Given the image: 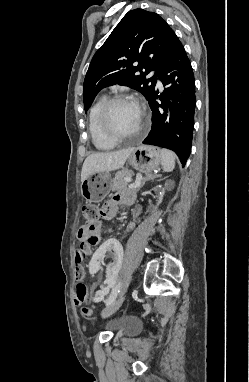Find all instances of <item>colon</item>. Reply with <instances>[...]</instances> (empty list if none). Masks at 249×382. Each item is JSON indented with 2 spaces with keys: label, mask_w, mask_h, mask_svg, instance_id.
I'll return each instance as SVG.
<instances>
[{
  "label": "colon",
  "mask_w": 249,
  "mask_h": 382,
  "mask_svg": "<svg viewBox=\"0 0 249 382\" xmlns=\"http://www.w3.org/2000/svg\"><path fill=\"white\" fill-rule=\"evenodd\" d=\"M82 213L87 221V223H93L100 214V209L94 205V204H85L82 207ZM88 254V248H80L77 247L76 249V262L77 264L74 265V270L76 273L74 274V277L76 279L81 280L83 278V269L81 267V263L86 258ZM87 296V287L83 282H78L76 286V297L75 298H86ZM87 310H84V313H86Z\"/></svg>",
  "instance_id": "1"
}]
</instances>
